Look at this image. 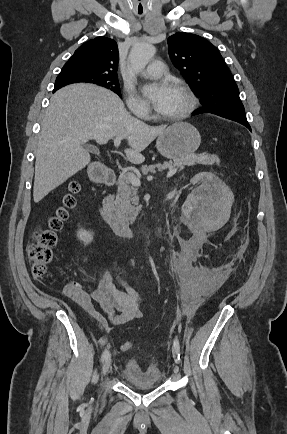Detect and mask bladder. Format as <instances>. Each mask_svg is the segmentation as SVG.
<instances>
[{
  "instance_id": "1",
  "label": "bladder",
  "mask_w": 287,
  "mask_h": 434,
  "mask_svg": "<svg viewBox=\"0 0 287 434\" xmlns=\"http://www.w3.org/2000/svg\"><path fill=\"white\" fill-rule=\"evenodd\" d=\"M120 376L126 385L137 388L155 387L163 381V374L156 363L141 365L134 359L127 362Z\"/></svg>"
}]
</instances>
